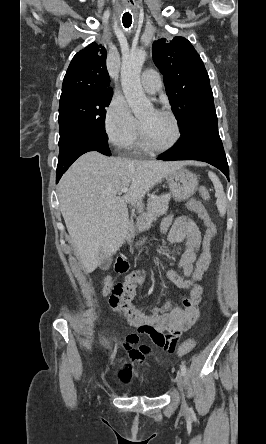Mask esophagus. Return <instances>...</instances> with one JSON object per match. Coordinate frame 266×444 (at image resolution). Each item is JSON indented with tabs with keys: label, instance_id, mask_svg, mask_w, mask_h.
<instances>
[{
	"label": "esophagus",
	"instance_id": "obj_1",
	"mask_svg": "<svg viewBox=\"0 0 266 444\" xmlns=\"http://www.w3.org/2000/svg\"><path fill=\"white\" fill-rule=\"evenodd\" d=\"M130 6L134 9L135 8V3H130Z\"/></svg>",
	"mask_w": 266,
	"mask_h": 444
}]
</instances>
